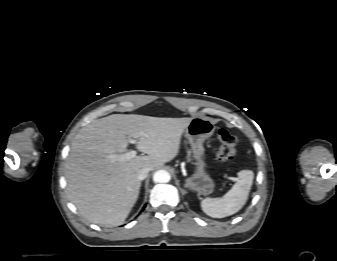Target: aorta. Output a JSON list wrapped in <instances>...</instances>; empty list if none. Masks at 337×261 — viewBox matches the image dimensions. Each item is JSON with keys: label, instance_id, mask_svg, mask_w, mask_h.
Here are the masks:
<instances>
[{"label": "aorta", "instance_id": "1", "mask_svg": "<svg viewBox=\"0 0 337 261\" xmlns=\"http://www.w3.org/2000/svg\"><path fill=\"white\" fill-rule=\"evenodd\" d=\"M153 181L156 183H167L170 181V174L165 170H158L153 175Z\"/></svg>", "mask_w": 337, "mask_h": 261}]
</instances>
